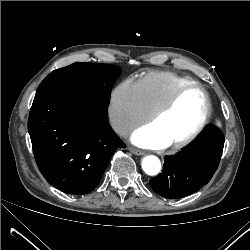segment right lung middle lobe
<instances>
[{
    "mask_svg": "<svg viewBox=\"0 0 250 250\" xmlns=\"http://www.w3.org/2000/svg\"><path fill=\"white\" fill-rule=\"evenodd\" d=\"M121 68L108 64L74 63L51 72L39 85L37 92L61 88L109 105L111 88Z\"/></svg>",
    "mask_w": 250,
    "mask_h": 250,
    "instance_id": "obj_1",
    "label": "right lung middle lobe"
}]
</instances>
